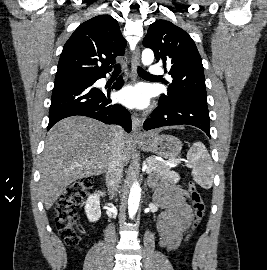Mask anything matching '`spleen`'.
I'll return each mask as SVG.
<instances>
[{"label":"spleen","instance_id":"spleen-1","mask_svg":"<svg viewBox=\"0 0 267 270\" xmlns=\"http://www.w3.org/2000/svg\"><path fill=\"white\" fill-rule=\"evenodd\" d=\"M187 159L192 163L193 179L202 188L210 189L213 184V163L202 142H195L187 153ZM179 180L176 175V182Z\"/></svg>","mask_w":267,"mask_h":270}]
</instances>
